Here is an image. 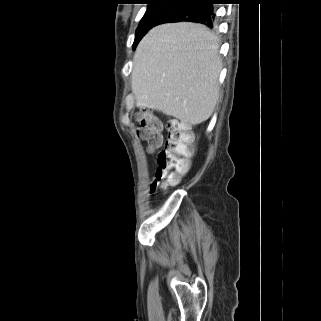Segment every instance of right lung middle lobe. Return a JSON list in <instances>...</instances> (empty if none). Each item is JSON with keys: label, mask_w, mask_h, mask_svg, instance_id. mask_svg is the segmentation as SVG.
I'll use <instances>...</instances> for the list:
<instances>
[{"label": "right lung middle lobe", "mask_w": 321, "mask_h": 321, "mask_svg": "<svg viewBox=\"0 0 321 321\" xmlns=\"http://www.w3.org/2000/svg\"><path fill=\"white\" fill-rule=\"evenodd\" d=\"M175 6V2L171 0L153 1L148 4L147 11L141 19L136 30L133 48L137 46L142 37L154 26L157 25L159 19L168 10Z\"/></svg>", "instance_id": "right-lung-middle-lobe-1"}]
</instances>
